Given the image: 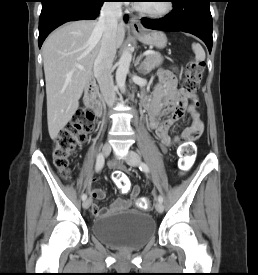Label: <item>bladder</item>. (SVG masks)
Wrapping results in <instances>:
<instances>
[{"mask_svg":"<svg viewBox=\"0 0 258 275\" xmlns=\"http://www.w3.org/2000/svg\"><path fill=\"white\" fill-rule=\"evenodd\" d=\"M92 233L113 247L136 249L155 237L156 223L147 213L125 210L96 218L92 222Z\"/></svg>","mask_w":258,"mask_h":275,"instance_id":"bladder-1","label":"bladder"}]
</instances>
